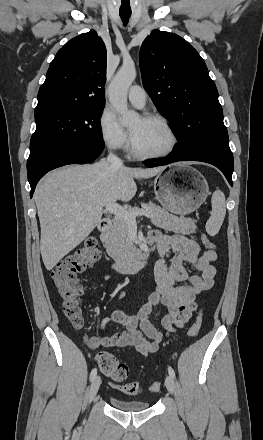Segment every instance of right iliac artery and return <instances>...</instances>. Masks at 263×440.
I'll return each instance as SVG.
<instances>
[{"instance_id": "right-iliac-artery-1", "label": "right iliac artery", "mask_w": 263, "mask_h": 440, "mask_svg": "<svg viewBox=\"0 0 263 440\" xmlns=\"http://www.w3.org/2000/svg\"><path fill=\"white\" fill-rule=\"evenodd\" d=\"M96 374H97V369L94 368L90 373V381H92L96 377Z\"/></svg>"}]
</instances>
